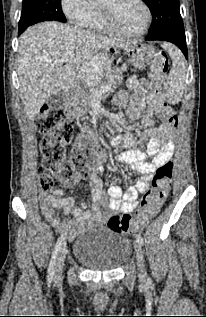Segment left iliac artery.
<instances>
[{"mask_svg": "<svg viewBox=\"0 0 206 317\" xmlns=\"http://www.w3.org/2000/svg\"><path fill=\"white\" fill-rule=\"evenodd\" d=\"M137 241L140 243V245H143L144 243L143 237L140 234L137 235Z\"/></svg>", "mask_w": 206, "mask_h": 317, "instance_id": "44dca946", "label": "left iliac artery"}]
</instances>
